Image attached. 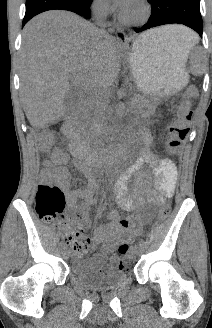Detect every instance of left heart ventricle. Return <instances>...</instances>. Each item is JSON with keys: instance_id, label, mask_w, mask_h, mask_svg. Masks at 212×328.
I'll return each instance as SVG.
<instances>
[{"instance_id": "obj_1", "label": "left heart ventricle", "mask_w": 212, "mask_h": 328, "mask_svg": "<svg viewBox=\"0 0 212 328\" xmlns=\"http://www.w3.org/2000/svg\"><path fill=\"white\" fill-rule=\"evenodd\" d=\"M126 13L130 17H138L141 14V10L135 3H133V5L126 11Z\"/></svg>"}]
</instances>
